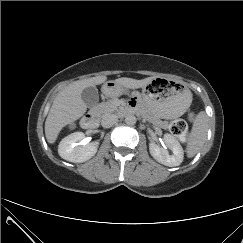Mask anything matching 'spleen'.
I'll return each mask as SVG.
<instances>
[{"label": "spleen", "mask_w": 243, "mask_h": 243, "mask_svg": "<svg viewBox=\"0 0 243 243\" xmlns=\"http://www.w3.org/2000/svg\"><path fill=\"white\" fill-rule=\"evenodd\" d=\"M208 130V116L205 111L199 112L194 120L192 130L188 137L186 154L191 158L195 156L203 147Z\"/></svg>", "instance_id": "spleen-1"}]
</instances>
